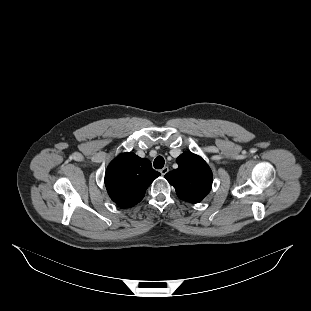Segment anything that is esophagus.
Here are the masks:
<instances>
[{
    "instance_id": "1",
    "label": "esophagus",
    "mask_w": 311,
    "mask_h": 311,
    "mask_svg": "<svg viewBox=\"0 0 311 311\" xmlns=\"http://www.w3.org/2000/svg\"><path fill=\"white\" fill-rule=\"evenodd\" d=\"M169 171V168L167 166L163 167L161 170H160V173L162 175H165L167 172Z\"/></svg>"
}]
</instances>
